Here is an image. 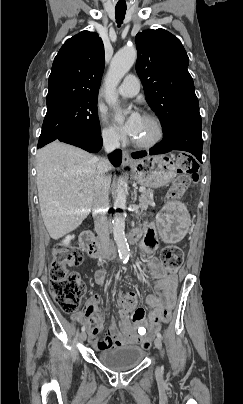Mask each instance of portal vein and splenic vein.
<instances>
[{
	"label": "portal vein and splenic vein",
	"instance_id": "obj_1",
	"mask_svg": "<svg viewBox=\"0 0 243 404\" xmlns=\"http://www.w3.org/2000/svg\"><path fill=\"white\" fill-rule=\"evenodd\" d=\"M144 190H146V188H139V192H144ZM78 196H80V198H82L83 194H78Z\"/></svg>",
	"mask_w": 243,
	"mask_h": 404
}]
</instances>
